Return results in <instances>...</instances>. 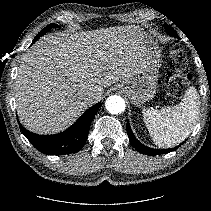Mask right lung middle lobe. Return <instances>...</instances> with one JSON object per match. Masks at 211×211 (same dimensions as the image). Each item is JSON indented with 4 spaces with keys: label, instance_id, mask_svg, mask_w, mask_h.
I'll return each instance as SVG.
<instances>
[{
    "label": "right lung middle lobe",
    "instance_id": "obj_1",
    "mask_svg": "<svg viewBox=\"0 0 211 211\" xmlns=\"http://www.w3.org/2000/svg\"><path fill=\"white\" fill-rule=\"evenodd\" d=\"M53 27H57V25L55 24H49L48 26H46L44 29H42V31H40L36 37L34 38L32 44L37 41L41 36H43L45 33H47L51 28Z\"/></svg>",
    "mask_w": 211,
    "mask_h": 211
}]
</instances>
